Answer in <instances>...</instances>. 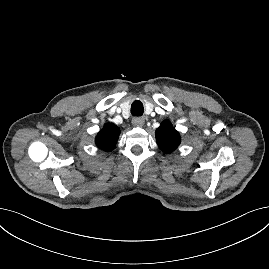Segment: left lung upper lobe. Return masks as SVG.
<instances>
[{
    "label": "left lung upper lobe",
    "instance_id": "obj_1",
    "mask_svg": "<svg viewBox=\"0 0 269 269\" xmlns=\"http://www.w3.org/2000/svg\"><path fill=\"white\" fill-rule=\"evenodd\" d=\"M155 135L159 148L165 153L173 152L181 141L179 133L168 120L161 123L156 129Z\"/></svg>",
    "mask_w": 269,
    "mask_h": 269
}]
</instances>
